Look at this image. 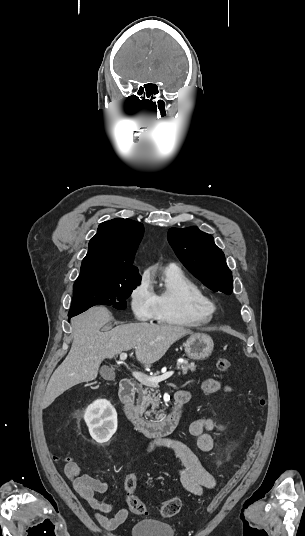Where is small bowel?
<instances>
[{"mask_svg":"<svg viewBox=\"0 0 305 536\" xmlns=\"http://www.w3.org/2000/svg\"><path fill=\"white\" fill-rule=\"evenodd\" d=\"M229 390L216 379H207L202 384V390L206 393H214L220 390ZM186 402L190 400L191 394L188 391H180ZM217 426L211 419L200 418L193 421L189 426L190 434L195 438V447L203 452H209L213 448V440L208 433L216 429ZM149 448H164L171 450L181 462L177 468V473L183 487L196 496H201L204 490L214 489L216 480L206 466L201 462L192 446L189 444L168 438L152 443ZM64 473L71 481L74 490L79 494L89 508L95 511V518L100 526L106 530L117 529L128 517L129 507L119 509L112 518L106 514L112 511L110 504L100 501L97 493H105L109 488L106 480H100L87 474H81L79 465L72 460H68L64 466ZM125 491V490H124Z\"/></svg>","mask_w":305,"mask_h":536,"instance_id":"obj_1","label":"small bowel"}]
</instances>
